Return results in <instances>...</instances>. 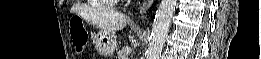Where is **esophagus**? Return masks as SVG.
Here are the masks:
<instances>
[{"label":"esophagus","mask_w":261,"mask_h":59,"mask_svg":"<svg viewBox=\"0 0 261 59\" xmlns=\"http://www.w3.org/2000/svg\"><path fill=\"white\" fill-rule=\"evenodd\" d=\"M153 0H145L140 7V18L144 19L147 10L151 7Z\"/></svg>","instance_id":"1"}]
</instances>
